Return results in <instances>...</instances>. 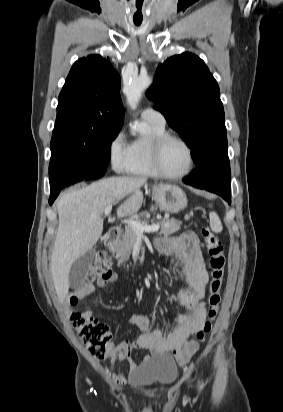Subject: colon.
Listing matches in <instances>:
<instances>
[{
	"instance_id": "obj_1",
	"label": "colon",
	"mask_w": 283,
	"mask_h": 412,
	"mask_svg": "<svg viewBox=\"0 0 283 412\" xmlns=\"http://www.w3.org/2000/svg\"><path fill=\"white\" fill-rule=\"evenodd\" d=\"M204 246L209 255L210 279L208 288V310L207 320L202 329L197 331L193 337L179 350V354H185L205 341L211 332L213 322L217 316L220 305V292L222 288L226 254L222 241L210 229H202ZM112 275L111 263L104 251L99 250L92 261L91 270L88 275V284L95 280H104ZM87 285V284H86ZM85 285V286H86ZM79 297L73 296L70 304L75 306ZM72 326L81 339L82 343L95 358L101 359L107 353L108 343L111 340L109 327L98 321L87 311L73 310L70 315Z\"/></svg>"
}]
</instances>
